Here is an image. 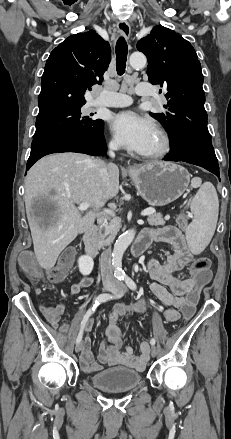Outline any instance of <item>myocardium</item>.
Instances as JSON below:
<instances>
[{
  "label": "myocardium",
  "instance_id": "1",
  "mask_svg": "<svg viewBox=\"0 0 231 439\" xmlns=\"http://www.w3.org/2000/svg\"><path fill=\"white\" fill-rule=\"evenodd\" d=\"M156 132L160 138V145L154 151L142 153L141 155L145 158L155 159V158L163 157L171 149V139L169 134L166 132V130L161 127H156Z\"/></svg>",
  "mask_w": 231,
  "mask_h": 439
}]
</instances>
